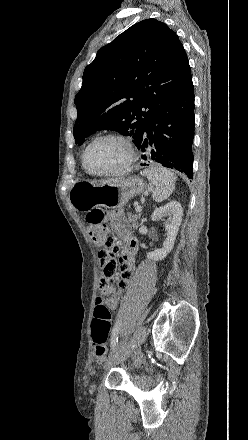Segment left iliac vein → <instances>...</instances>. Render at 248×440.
Returning <instances> with one entry per match:
<instances>
[{
  "label": "left iliac vein",
  "instance_id": "4c4485c4",
  "mask_svg": "<svg viewBox=\"0 0 248 440\" xmlns=\"http://www.w3.org/2000/svg\"><path fill=\"white\" fill-rule=\"evenodd\" d=\"M147 338V330L144 326L139 327L134 338V347L128 345L121 350L115 352L110 356L105 369H109L111 366L119 364L126 360L139 346H141Z\"/></svg>",
  "mask_w": 248,
  "mask_h": 440
}]
</instances>
